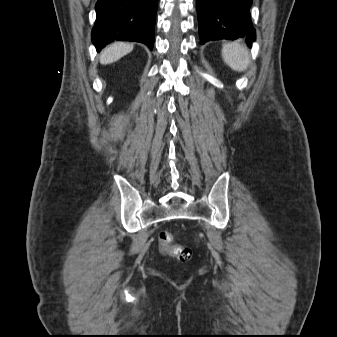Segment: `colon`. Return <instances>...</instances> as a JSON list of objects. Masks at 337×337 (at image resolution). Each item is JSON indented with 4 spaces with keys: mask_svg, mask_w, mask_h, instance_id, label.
Instances as JSON below:
<instances>
[{
    "mask_svg": "<svg viewBox=\"0 0 337 337\" xmlns=\"http://www.w3.org/2000/svg\"><path fill=\"white\" fill-rule=\"evenodd\" d=\"M159 246L163 252L173 254L180 260H186L190 257L188 247L174 243L173 234L169 231H162L158 236Z\"/></svg>",
    "mask_w": 337,
    "mask_h": 337,
    "instance_id": "1",
    "label": "colon"
}]
</instances>
